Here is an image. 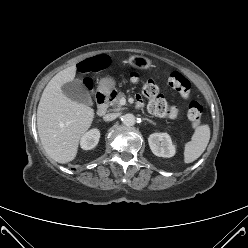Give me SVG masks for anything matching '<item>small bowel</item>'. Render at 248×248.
<instances>
[{"label": "small bowel", "instance_id": "1", "mask_svg": "<svg viewBox=\"0 0 248 248\" xmlns=\"http://www.w3.org/2000/svg\"><path fill=\"white\" fill-rule=\"evenodd\" d=\"M175 115H176V111H175V113L171 117H175Z\"/></svg>", "mask_w": 248, "mask_h": 248}]
</instances>
